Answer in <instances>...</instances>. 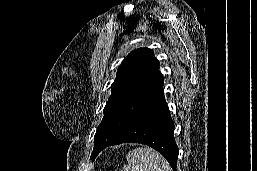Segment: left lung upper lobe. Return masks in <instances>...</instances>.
I'll use <instances>...</instances> for the list:
<instances>
[{"instance_id": "1", "label": "left lung upper lobe", "mask_w": 257, "mask_h": 171, "mask_svg": "<svg viewBox=\"0 0 257 171\" xmlns=\"http://www.w3.org/2000/svg\"><path fill=\"white\" fill-rule=\"evenodd\" d=\"M163 87L159 61L149 48L131 51L119 66L94 149L115 138Z\"/></svg>"}]
</instances>
